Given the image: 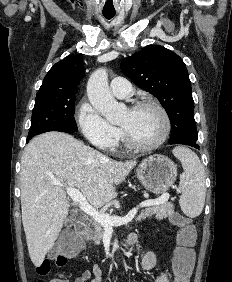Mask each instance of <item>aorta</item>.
<instances>
[{"instance_id":"aorta-1","label":"aorta","mask_w":232,"mask_h":282,"mask_svg":"<svg viewBox=\"0 0 232 282\" xmlns=\"http://www.w3.org/2000/svg\"><path fill=\"white\" fill-rule=\"evenodd\" d=\"M89 101L110 123L120 122L126 109L124 104L118 103L110 92L108 73L105 68H98L89 77L87 83Z\"/></svg>"}]
</instances>
